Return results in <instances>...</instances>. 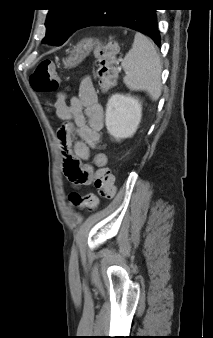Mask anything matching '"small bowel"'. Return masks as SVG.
<instances>
[{
    "mask_svg": "<svg viewBox=\"0 0 213 338\" xmlns=\"http://www.w3.org/2000/svg\"><path fill=\"white\" fill-rule=\"evenodd\" d=\"M53 108L56 116L66 123L58 135L65 159L70 157L79 161H88L92 149L99 141V130L104 117V109L97 100L92 81L89 78L83 79L79 84L78 94L70 100L69 104L66 101V94L59 93ZM71 123L74 124V128L68 127ZM91 178L92 170L87 167L77 172L70 181L76 185H89Z\"/></svg>",
    "mask_w": 213,
    "mask_h": 338,
    "instance_id": "1",
    "label": "small bowel"
}]
</instances>
